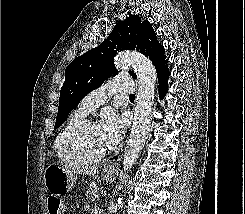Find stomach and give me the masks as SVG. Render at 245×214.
I'll use <instances>...</instances> for the list:
<instances>
[{"label": "stomach", "instance_id": "stomach-1", "mask_svg": "<svg viewBox=\"0 0 245 214\" xmlns=\"http://www.w3.org/2000/svg\"><path fill=\"white\" fill-rule=\"evenodd\" d=\"M104 178L106 180L115 179L116 170H104ZM76 183V178L73 172L60 167L58 165H49L44 172V184L45 188L55 196L63 195L64 193L72 190Z\"/></svg>", "mask_w": 245, "mask_h": 214}]
</instances>
